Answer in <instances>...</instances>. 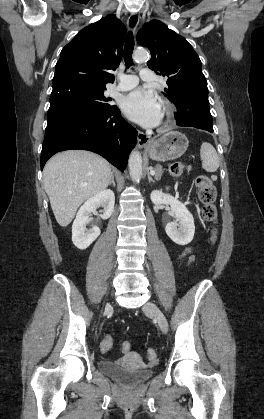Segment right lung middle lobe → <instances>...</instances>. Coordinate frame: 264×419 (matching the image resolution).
<instances>
[{"instance_id":"dd1d6c3e","label":"right lung middle lobe","mask_w":264,"mask_h":419,"mask_svg":"<svg viewBox=\"0 0 264 419\" xmlns=\"http://www.w3.org/2000/svg\"><path fill=\"white\" fill-rule=\"evenodd\" d=\"M106 88L73 87L51 94L48 118L64 107L77 106L98 110H109L111 98L104 96Z\"/></svg>"}]
</instances>
